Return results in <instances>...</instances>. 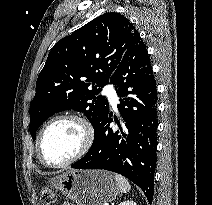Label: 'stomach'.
Segmentation results:
<instances>
[{
  "label": "stomach",
  "instance_id": "stomach-1",
  "mask_svg": "<svg viewBox=\"0 0 212 205\" xmlns=\"http://www.w3.org/2000/svg\"><path fill=\"white\" fill-rule=\"evenodd\" d=\"M49 181L76 205H105L119 194L115 176L104 170H70Z\"/></svg>",
  "mask_w": 212,
  "mask_h": 205
}]
</instances>
